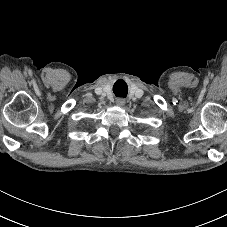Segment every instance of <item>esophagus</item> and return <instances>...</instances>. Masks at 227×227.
Segmentation results:
<instances>
[{
  "label": "esophagus",
  "instance_id": "34e87169",
  "mask_svg": "<svg viewBox=\"0 0 227 227\" xmlns=\"http://www.w3.org/2000/svg\"><path fill=\"white\" fill-rule=\"evenodd\" d=\"M116 104L118 106H123L125 104V99H123V98H117L116 99Z\"/></svg>",
  "mask_w": 227,
  "mask_h": 227
}]
</instances>
